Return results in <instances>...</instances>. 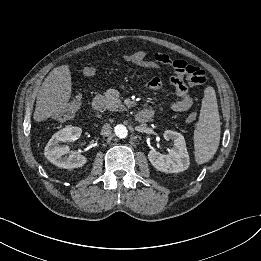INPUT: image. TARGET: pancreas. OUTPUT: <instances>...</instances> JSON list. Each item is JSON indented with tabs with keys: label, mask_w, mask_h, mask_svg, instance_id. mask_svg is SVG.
<instances>
[{
	"label": "pancreas",
	"mask_w": 261,
	"mask_h": 261,
	"mask_svg": "<svg viewBox=\"0 0 261 261\" xmlns=\"http://www.w3.org/2000/svg\"><path fill=\"white\" fill-rule=\"evenodd\" d=\"M119 94L120 93L115 89H109L105 92L106 108L109 111H123L125 109Z\"/></svg>",
	"instance_id": "obj_1"
}]
</instances>
